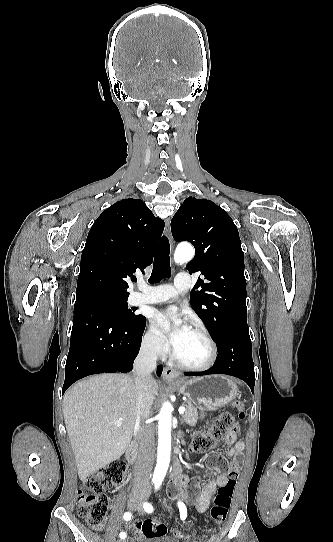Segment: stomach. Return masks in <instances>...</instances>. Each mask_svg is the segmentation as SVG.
I'll use <instances>...</instances> for the list:
<instances>
[{
  "instance_id": "0dacf381",
  "label": "stomach",
  "mask_w": 333,
  "mask_h": 542,
  "mask_svg": "<svg viewBox=\"0 0 333 542\" xmlns=\"http://www.w3.org/2000/svg\"><path fill=\"white\" fill-rule=\"evenodd\" d=\"M172 386L177 388L179 394L186 396L189 402L196 404L201 410V418H204L205 412L224 408L239 396V388L234 378L229 376H201L192 380H178Z\"/></svg>"
}]
</instances>
